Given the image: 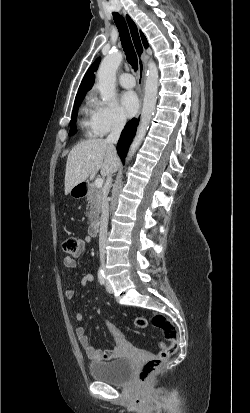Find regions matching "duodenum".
Listing matches in <instances>:
<instances>
[{
    "label": "duodenum",
    "instance_id": "410a0bca",
    "mask_svg": "<svg viewBox=\"0 0 250 413\" xmlns=\"http://www.w3.org/2000/svg\"><path fill=\"white\" fill-rule=\"evenodd\" d=\"M85 186V184H83ZM99 222L98 221H93L90 226H89V233L91 236H96L99 232Z\"/></svg>",
    "mask_w": 250,
    "mask_h": 413
}]
</instances>
